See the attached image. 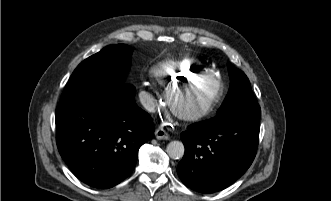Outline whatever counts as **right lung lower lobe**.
<instances>
[{"instance_id": "98d812e1", "label": "right lung lower lobe", "mask_w": 331, "mask_h": 201, "mask_svg": "<svg viewBox=\"0 0 331 201\" xmlns=\"http://www.w3.org/2000/svg\"><path fill=\"white\" fill-rule=\"evenodd\" d=\"M153 133L152 119L135 103L130 84L97 89L56 109L58 150L74 175L95 188L127 178Z\"/></svg>"}]
</instances>
